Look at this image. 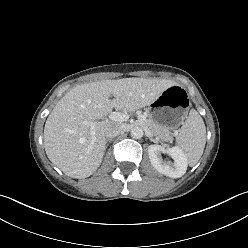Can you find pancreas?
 Listing matches in <instances>:
<instances>
[{"mask_svg":"<svg viewBox=\"0 0 248 248\" xmlns=\"http://www.w3.org/2000/svg\"><path fill=\"white\" fill-rule=\"evenodd\" d=\"M145 125L149 128L151 133L156 136L157 138L163 140V141H170L172 140V135L169 132V130L160 124L154 122L151 119L145 120Z\"/></svg>","mask_w":248,"mask_h":248,"instance_id":"obj_1","label":"pancreas"}]
</instances>
